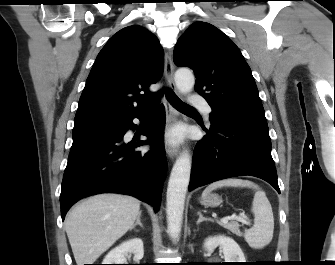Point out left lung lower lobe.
Masks as SVG:
<instances>
[{"mask_svg":"<svg viewBox=\"0 0 335 265\" xmlns=\"http://www.w3.org/2000/svg\"><path fill=\"white\" fill-rule=\"evenodd\" d=\"M211 124L210 131L205 130L207 135L196 144L189 190L250 175L267 181L280 193L270 137L221 119Z\"/></svg>","mask_w":335,"mask_h":265,"instance_id":"left-lung-lower-lobe-1","label":"left lung lower lobe"}]
</instances>
